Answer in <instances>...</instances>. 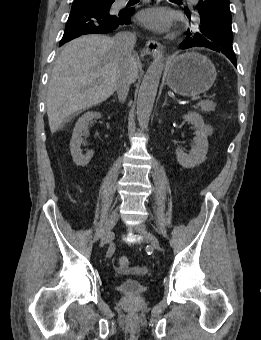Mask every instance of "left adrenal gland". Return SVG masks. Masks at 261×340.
<instances>
[{
    "label": "left adrenal gland",
    "instance_id": "1",
    "mask_svg": "<svg viewBox=\"0 0 261 340\" xmlns=\"http://www.w3.org/2000/svg\"><path fill=\"white\" fill-rule=\"evenodd\" d=\"M165 105H167V97L165 98V100H164V103H163L162 107H164Z\"/></svg>",
    "mask_w": 261,
    "mask_h": 340
}]
</instances>
